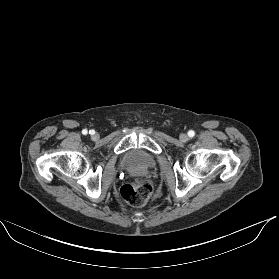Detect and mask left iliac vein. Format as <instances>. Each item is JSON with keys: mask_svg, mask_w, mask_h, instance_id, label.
Masks as SVG:
<instances>
[{"mask_svg": "<svg viewBox=\"0 0 279 279\" xmlns=\"http://www.w3.org/2000/svg\"><path fill=\"white\" fill-rule=\"evenodd\" d=\"M188 135L187 134H181L180 135V140L182 141V142H187L188 141Z\"/></svg>", "mask_w": 279, "mask_h": 279, "instance_id": "obj_1", "label": "left iliac vein"}]
</instances>
